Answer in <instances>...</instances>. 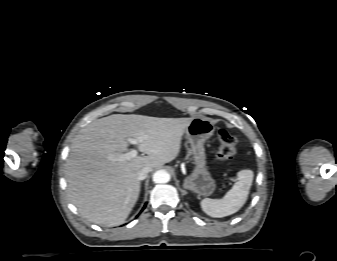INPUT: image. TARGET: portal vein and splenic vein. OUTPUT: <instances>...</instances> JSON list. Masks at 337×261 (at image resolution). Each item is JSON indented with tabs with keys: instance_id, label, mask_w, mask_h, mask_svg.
<instances>
[{
	"instance_id": "1",
	"label": "portal vein and splenic vein",
	"mask_w": 337,
	"mask_h": 261,
	"mask_svg": "<svg viewBox=\"0 0 337 261\" xmlns=\"http://www.w3.org/2000/svg\"><path fill=\"white\" fill-rule=\"evenodd\" d=\"M145 138H146L145 136H141V137H138V138H128L127 141H128V143H130L132 145H137L138 142L142 141ZM137 154H138L137 150L132 149L131 151L126 152L124 154H115L111 158L114 161H125V160H130V159L136 157Z\"/></svg>"
}]
</instances>
